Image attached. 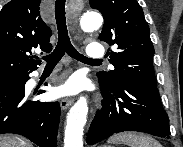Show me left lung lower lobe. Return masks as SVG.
<instances>
[{
    "label": "left lung lower lobe",
    "mask_w": 183,
    "mask_h": 147,
    "mask_svg": "<svg viewBox=\"0 0 183 147\" xmlns=\"http://www.w3.org/2000/svg\"><path fill=\"white\" fill-rule=\"evenodd\" d=\"M102 109L95 115L87 143L96 144L114 133L144 132L158 137L170 135L169 119L156 85L123 80L113 88L100 84Z\"/></svg>",
    "instance_id": "obj_1"
}]
</instances>
